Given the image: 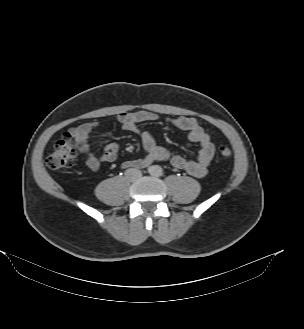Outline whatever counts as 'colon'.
<instances>
[{"instance_id":"1","label":"colon","mask_w":304,"mask_h":329,"mask_svg":"<svg viewBox=\"0 0 304 329\" xmlns=\"http://www.w3.org/2000/svg\"><path fill=\"white\" fill-rule=\"evenodd\" d=\"M75 137L72 133H66L56 143L53 151L47 157L46 163L51 170L69 168L74 164L76 158ZM219 155L223 159H229L232 151L229 146L221 145Z\"/></svg>"}]
</instances>
